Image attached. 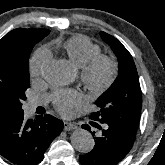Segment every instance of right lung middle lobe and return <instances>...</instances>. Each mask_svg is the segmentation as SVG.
I'll return each mask as SVG.
<instances>
[{
  "instance_id": "obj_1",
  "label": "right lung middle lobe",
  "mask_w": 165,
  "mask_h": 165,
  "mask_svg": "<svg viewBox=\"0 0 165 165\" xmlns=\"http://www.w3.org/2000/svg\"><path fill=\"white\" fill-rule=\"evenodd\" d=\"M48 33H30L0 44V115L22 113L29 88V57L32 48Z\"/></svg>"
}]
</instances>
